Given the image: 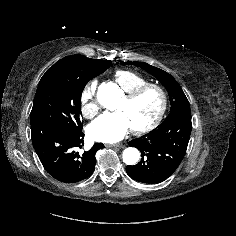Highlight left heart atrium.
Masks as SVG:
<instances>
[{"label":"left heart atrium","mask_w":236,"mask_h":236,"mask_svg":"<svg viewBox=\"0 0 236 236\" xmlns=\"http://www.w3.org/2000/svg\"><path fill=\"white\" fill-rule=\"evenodd\" d=\"M131 128L123 111L106 112L90 124L88 134L95 141L115 143L124 138Z\"/></svg>","instance_id":"obj_1"}]
</instances>
